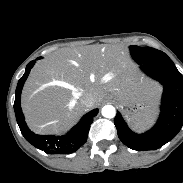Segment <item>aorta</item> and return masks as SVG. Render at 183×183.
Instances as JSON below:
<instances>
[{
    "label": "aorta",
    "instance_id": "762f6f07",
    "mask_svg": "<svg viewBox=\"0 0 183 183\" xmlns=\"http://www.w3.org/2000/svg\"><path fill=\"white\" fill-rule=\"evenodd\" d=\"M102 116L105 118H114L116 115L115 107L112 105H105L101 110Z\"/></svg>",
    "mask_w": 183,
    "mask_h": 183
}]
</instances>
